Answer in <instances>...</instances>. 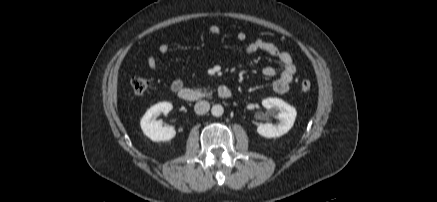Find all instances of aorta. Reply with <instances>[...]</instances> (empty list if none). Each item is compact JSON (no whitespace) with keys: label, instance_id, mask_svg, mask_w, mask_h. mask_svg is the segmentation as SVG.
I'll return each mask as SVG.
<instances>
[{"label":"aorta","instance_id":"aorta-1","mask_svg":"<svg viewBox=\"0 0 437 202\" xmlns=\"http://www.w3.org/2000/svg\"><path fill=\"white\" fill-rule=\"evenodd\" d=\"M211 113H212V115L215 116V117H220V116H222L223 113H224V108L222 107V105H220V104H216V105H214V106L212 107V109H211Z\"/></svg>","mask_w":437,"mask_h":202}]
</instances>
